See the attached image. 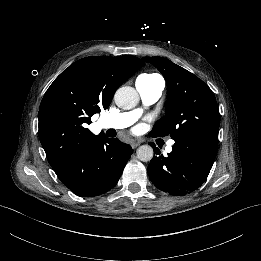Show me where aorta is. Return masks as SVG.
Returning a JSON list of instances; mask_svg holds the SVG:
<instances>
[{
  "label": "aorta",
  "mask_w": 261,
  "mask_h": 261,
  "mask_svg": "<svg viewBox=\"0 0 261 261\" xmlns=\"http://www.w3.org/2000/svg\"><path fill=\"white\" fill-rule=\"evenodd\" d=\"M115 104L124 110L134 108L139 102V95L135 88L124 86L119 88L114 95ZM137 158L142 162H149L153 158V148L142 145L137 149Z\"/></svg>",
  "instance_id": "762f6f07"
}]
</instances>
